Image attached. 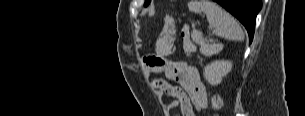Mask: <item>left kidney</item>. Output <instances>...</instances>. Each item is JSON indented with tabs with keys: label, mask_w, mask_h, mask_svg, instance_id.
<instances>
[{
	"label": "left kidney",
	"mask_w": 305,
	"mask_h": 116,
	"mask_svg": "<svg viewBox=\"0 0 305 116\" xmlns=\"http://www.w3.org/2000/svg\"><path fill=\"white\" fill-rule=\"evenodd\" d=\"M232 69V62L225 60H216L204 68V77L211 85H218L222 78Z\"/></svg>",
	"instance_id": "obj_1"
}]
</instances>
